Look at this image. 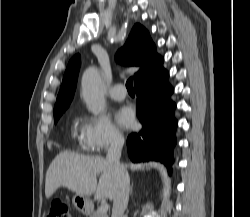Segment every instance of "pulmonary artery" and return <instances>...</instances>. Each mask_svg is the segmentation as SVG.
<instances>
[{
  "label": "pulmonary artery",
  "mask_w": 250,
  "mask_h": 217,
  "mask_svg": "<svg viewBox=\"0 0 250 217\" xmlns=\"http://www.w3.org/2000/svg\"><path fill=\"white\" fill-rule=\"evenodd\" d=\"M109 95L113 100L122 101L126 98L127 92L122 84H116L110 89Z\"/></svg>",
  "instance_id": "1"
}]
</instances>
